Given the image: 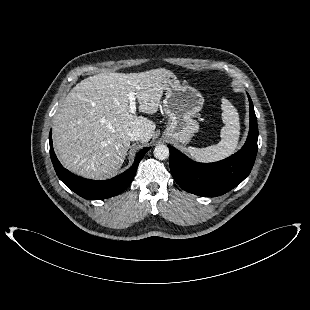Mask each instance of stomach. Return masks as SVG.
<instances>
[{
  "label": "stomach",
  "instance_id": "obj_1",
  "mask_svg": "<svg viewBox=\"0 0 310 310\" xmlns=\"http://www.w3.org/2000/svg\"><path fill=\"white\" fill-rule=\"evenodd\" d=\"M166 80L163 109L169 121L164 135L186 144L198 132V122L193 118L202 109L204 99L197 89L182 84L175 75L168 76Z\"/></svg>",
  "mask_w": 310,
  "mask_h": 310
}]
</instances>
